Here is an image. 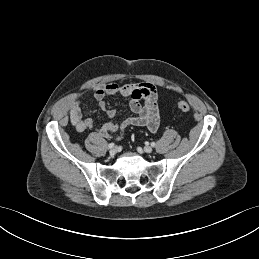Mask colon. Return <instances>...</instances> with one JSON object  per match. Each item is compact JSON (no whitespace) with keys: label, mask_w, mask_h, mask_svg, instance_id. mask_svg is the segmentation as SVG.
Returning a JSON list of instances; mask_svg holds the SVG:
<instances>
[{"label":"colon","mask_w":259,"mask_h":259,"mask_svg":"<svg viewBox=\"0 0 259 259\" xmlns=\"http://www.w3.org/2000/svg\"><path fill=\"white\" fill-rule=\"evenodd\" d=\"M177 107H178L181 111H183V112H187V111L190 109L189 104H188L186 101H183V100L178 101Z\"/></svg>","instance_id":"obj_1"}]
</instances>
